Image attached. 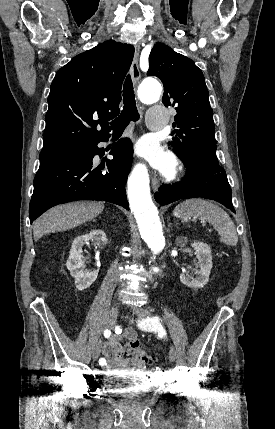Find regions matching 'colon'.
I'll use <instances>...</instances> for the list:
<instances>
[{"instance_id":"1","label":"colon","mask_w":275,"mask_h":429,"mask_svg":"<svg viewBox=\"0 0 275 429\" xmlns=\"http://www.w3.org/2000/svg\"><path fill=\"white\" fill-rule=\"evenodd\" d=\"M130 352L134 355L135 359L146 364L148 367L152 369L155 359L141 348L139 341H133L130 345Z\"/></svg>"}]
</instances>
